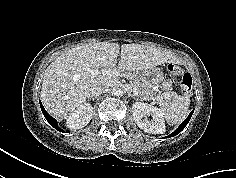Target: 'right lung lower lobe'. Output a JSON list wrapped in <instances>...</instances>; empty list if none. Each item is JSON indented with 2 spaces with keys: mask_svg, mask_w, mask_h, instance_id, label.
Returning <instances> with one entry per match:
<instances>
[{
  "mask_svg": "<svg viewBox=\"0 0 236 178\" xmlns=\"http://www.w3.org/2000/svg\"><path fill=\"white\" fill-rule=\"evenodd\" d=\"M40 107H41L43 115L45 116L46 120L50 123V125L54 127L56 130L63 132V130H61L58 127L57 121L46 112L41 102H40Z\"/></svg>",
  "mask_w": 236,
  "mask_h": 178,
  "instance_id": "98d812e1",
  "label": "right lung lower lobe"
}]
</instances>
